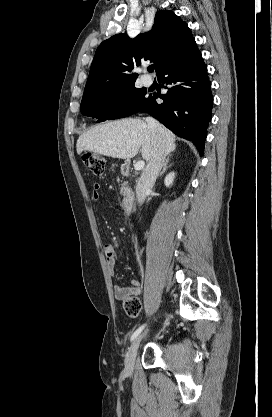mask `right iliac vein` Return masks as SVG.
Wrapping results in <instances>:
<instances>
[{"mask_svg": "<svg viewBox=\"0 0 272 417\" xmlns=\"http://www.w3.org/2000/svg\"><path fill=\"white\" fill-rule=\"evenodd\" d=\"M143 336L144 334L136 337L127 352L126 359H125V371L128 374H131L133 372L135 358L137 356L138 348H139V345Z\"/></svg>", "mask_w": 272, "mask_h": 417, "instance_id": "1", "label": "right iliac vein"}]
</instances>
